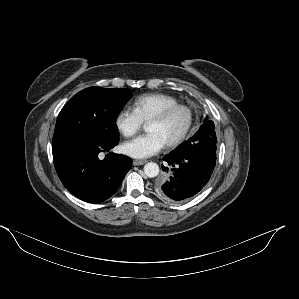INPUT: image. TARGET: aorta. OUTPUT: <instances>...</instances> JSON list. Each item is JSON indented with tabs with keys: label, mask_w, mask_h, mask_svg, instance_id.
<instances>
[{
	"label": "aorta",
	"mask_w": 299,
	"mask_h": 299,
	"mask_svg": "<svg viewBox=\"0 0 299 299\" xmlns=\"http://www.w3.org/2000/svg\"><path fill=\"white\" fill-rule=\"evenodd\" d=\"M144 173L147 177L154 178L159 174V166L157 163L150 162L145 164Z\"/></svg>",
	"instance_id": "762f6f07"
}]
</instances>
